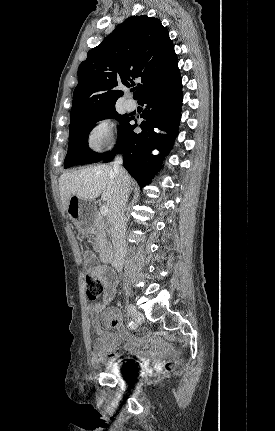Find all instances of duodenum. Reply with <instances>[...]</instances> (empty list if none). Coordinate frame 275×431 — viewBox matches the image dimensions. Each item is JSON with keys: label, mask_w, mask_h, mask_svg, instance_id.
Wrapping results in <instances>:
<instances>
[{"label": "duodenum", "mask_w": 275, "mask_h": 431, "mask_svg": "<svg viewBox=\"0 0 275 431\" xmlns=\"http://www.w3.org/2000/svg\"><path fill=\"white\" fill-rule=\"evenodd\" d=\"M99 256L102 262L112 263L115 259L114 249L111 245L103 246L99 251Z\"/></svg>", "instance_id": "obj_1"}]
</instances>
